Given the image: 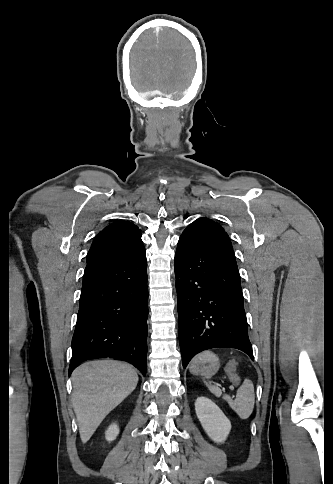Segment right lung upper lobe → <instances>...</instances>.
Instances as JSON below:
<instances>
[{"mask_svg":"<svg viewBox=\"0 0 333 484\" xmlns=\"http://www.w3.org/2000/svg\"><path fill=\"white\" fill-rule=\"evenodd\" d=\"M141 231L126 221H116L95 237L87 254V262L127 256L143 248Z\"/></svg>","mask_w":333,"mask_h":484,"instance_id":"1","label":"right lung upper lobe"}]
</instances>
